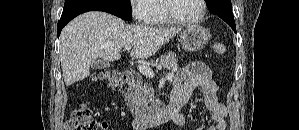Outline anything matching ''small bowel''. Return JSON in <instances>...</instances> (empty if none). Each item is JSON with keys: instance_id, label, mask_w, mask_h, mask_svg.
Returning a JSON list of instances; mask_svg holds the SVG:
<instances>
[{"instance_id": "obj_1", "label": "small bowel", "mask_w": 299, "mask_h": 130, "mask_svg": "<svg viewBox=\"0 0 299 130\" xmlns=\"http://www.w3.org/2000/svg\"><path fill=\"white\" fill-rule=\"evenodd\" d=\"M196 88H201L205 96V107L208 111L207 118L211 125L206 130H226L228 110L225 103L219 97V86L212 76V71L203 62H191L178 70L173 81V94H183L188 98ZM201 121H205L202 118ZM173 122L185 128L186 121L181 113H178ZM101 129L107 130L109 123L101 122Z\"/></svg>"}]
</instances>
